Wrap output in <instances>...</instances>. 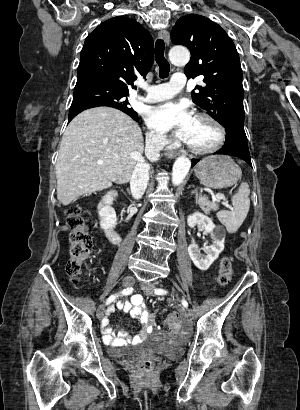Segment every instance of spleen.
Returning <instances> with one entry per match:
<instances>
[{"label": "spleen", "mask_w": 300, "mask_h": 410, "mask_svg": "<svg viewBox=\"0 0 300 410\" xmlns=\"http://www.w3.org/2000/svg\"><path fill=\"white\" fill-rule=\"evenodd\" d=\"M250 189L246 182H242L238 191L232 197L234 209L232 211H220L217 213L218 220L225 225L229 233H235L246 218L249 208ZM212 209L217 210L218 205L212 203Z\"/></svg>", "instance_id": "spleen-1"}]
</instances>
